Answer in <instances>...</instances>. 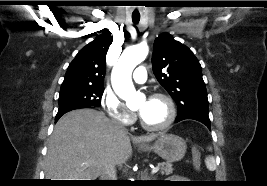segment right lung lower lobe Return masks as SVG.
Here are the masks:
<instances>
[{
  "mask_svg": "<svg viewBox=\"0 0 267 186\" xmlns=\"http://www.w3.org/2000/svg\"><path fill=\"white\" fill-rule=\"evenodd\" d=\"M79 108H91V107H78V108H71V109H63V110H59L56 117H55V122H57L59 120V118L64 115L65 113L74 110V109H79Z\"/></svg>",
  "mask_w": 267,
  "mask_h": 186,
  "instance_id": "right-lung-lower-lobe-1",
  "label": "right lung lower lobe"
}]
</instances>
